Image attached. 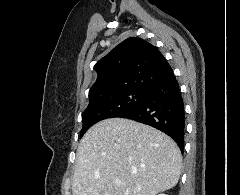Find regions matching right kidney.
Masks as SVG:
<instances>
[{
    "instance_id": "obj_1",
    "label": "right kidney",
    "mask_w": 240,
    "mask_h": 195,
    "mask_svg": "<svg viewBox=\"0 0 240 195\" xmlns=\"http://www.w3.org/2000/svg\"><path fill=\"white\" fill-rule=\"evenodd\" d=\"M159 195H167V193H159Z\"/></svg>"
}]
</instances>
